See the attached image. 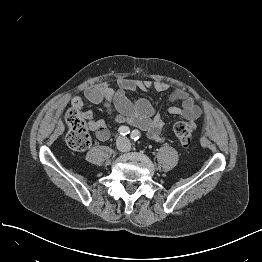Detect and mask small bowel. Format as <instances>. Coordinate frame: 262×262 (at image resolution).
<instances>
[{
  "label": "small bowel",
  "instance_id": "1",
  "mask_svg": "<svg viewBox=\"0 0 262 262\" xmlns=\"http://www.w3.org/2000/svg\"><path fill=\"white\" fill-rule=\"evenodd\" d=\"M168 88L169 83L163 80L122 78L119 81L118 89H114L106 83L88 86L85 89V98L91 104H104L107 114L112 116L115 123L138 127L146 131L150 139L161 143L165 141L162 133L165 122L157 112L155 105L146 98H131L127 92L135 90L163 92ZM171 99L181 101V104L169 107L167 109L169 115L178 116L193 123L202 120L203 111L201 107L186 90H175ZM71 104L82 112L88 120L89 129L95 132L98 140H108L109 131L106 123L103 120H94L90 111H82L84 103L81 98L74 97ZM113 113L115 114L113 115Z\"/></svg>",
  "mask_w": 262,
  "mask_h": 262
}]
</instances>
